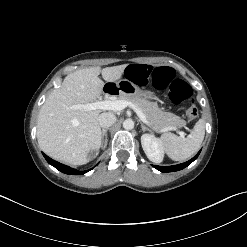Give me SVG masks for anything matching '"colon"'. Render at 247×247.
<instances>
[{
  "label": "colon",
  "instance_id": "5ec220e1",
  "mask_svg": "<svg viewBox=\"0 0 247 247\" xmlns=\"http://www.w3.org/2000/svg\"><path fill=\"white\" fill-rule=\"evenodd\" d=\"M115 77L119 81H124L127 77L138 85L151 83L158 89H167L168 96L172 103L180 104L189 102L186 109V116L195 119L198 116V109L194 105L192 89L187 82L175 77V72L170 67H153L146 64H134L126 69L119 68L115 72Z\"/></svg>",
  "mask_w": 247,
  "mask_h": 247
}]
</instances>
